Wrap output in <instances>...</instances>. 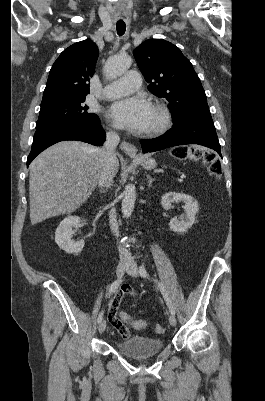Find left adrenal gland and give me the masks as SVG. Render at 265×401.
I'll use <instances>...</instances> for the list:
<instances>
[{
	"label": "left adrenal gland",
	"instance_id": "obj_1",
	"mask_svg": "<svg viewBox=\"0 0 265 401\" xmlns=\"http://www.w3.org/2000/svg\"><path fill=\"white\" fill-rule=\"evenodd\" d=\"M146 178H148V186H152V182L155 180V178H152L150 174H146Z\"/></svg>",
	"mask_w": 265,
	"mask_h": 401
}]
</instances>
